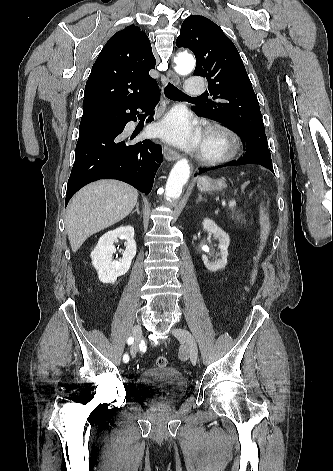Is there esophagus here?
I'll list each match as a JSON object with an SVG mask.
<instances>
[{"label":"esophagus","mask_w":333,"mask_h":471,"mask_svg":"<svg viewBox=\"0 0 333 471\" xmlns=\"http://www.w3.org/2000/svg\"><path fill=\"white\" fill-rule=\"evenodd\" d=\"M166 76H167L168 82H170L172 84H175V85L179 84V81H180L179 77L172 70H169L167 72ZM163 154H164V157L167 161H175V160H178L181 157V155L177 151H175L174 149H172L169 146H164L163 147Z\"/></svg>","instance_id":"1"}]
</instances>
